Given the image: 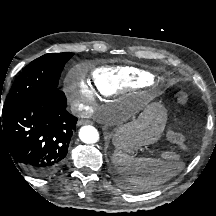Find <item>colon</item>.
Returning a JSON list of instances; mask_svg holds the SVG:
<instances>
[{"label": "colon", "instance_id": "5ec220e1", "mask_svg": "<svg viewBox=\"0 0 216 216\" xmlns=\"http://www.w3.org/2000/svg\"><path fill=\"white\" fill-rule=\"evenodd\" d=\"M190 99L189 92L186 89L179 90L175 95V100L179 105H187ZM175 154L173 152H167V158H173Z\"/></svg>", "mask_w": 216, "mask_h": 216}]
</instances>
